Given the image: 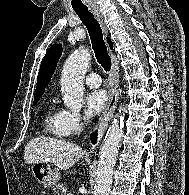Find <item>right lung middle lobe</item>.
<instances>
[{
    "mask_svg": "<svg viewBox=\"0 0 189 195\" xmlns=\"http://www.w3.org/2000/svg\"><path fill=\"white\" fill-rule=\"evenodd\" d=\"M38 99L34 100V105L37 103Z\"/></svg>",
    "mask_w": 189,
    "mask_h": 195,
    "instance_id": "right-lung-middle-lobe-1",
    "label": "right lung middle lobe"
}]
</instances>
